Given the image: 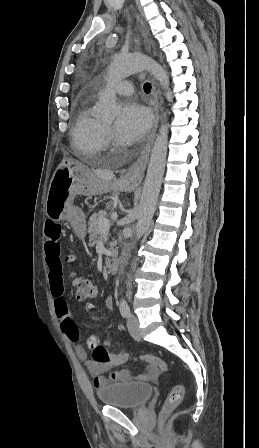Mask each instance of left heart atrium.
<instances>
[{"mask_svg": "<svg viewBox=\"0 0 259 448\" xmlns=\"http://www.w3.org/2000/svg\"><path fill=\"white\" fill-rule=\"evenodd\" d=\"M149 124L150 114L148 110L137 101H128L121 107L116 130L120 140L132 143L145 135Z\"/></svg>", "mask_w": 259, "mask_h": 448, "instance_id": "1", "label": "left heart atrium"}]
</instances>
